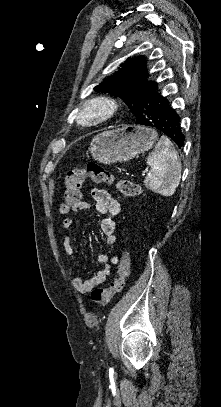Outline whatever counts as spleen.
Returning <instances> with one entry per match:
<instances>
[{
  "instance_id": "obj_1",
  "label": "spleen",
  "mask_w": 221,
  "mask_h": 407,
  "mask_svg": "<svg viewBox=\"0 0 221 407\" xmlns=\"http://www.w3.org/2000/svg\"><path fill=\"white\" fill-rule=\"evenodd\" d=\"M151 170L144 180L145 186L162 196L174 194L181 180V160L173 143L166 136L160 140L147 157Z\"/></svg>"
}]
</instances>
